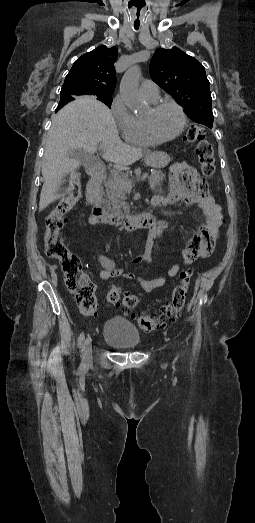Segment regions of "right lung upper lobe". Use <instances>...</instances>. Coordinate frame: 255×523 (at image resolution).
Instances as JSON below:
<instances>
[{"mask_svg": "<svg viewBox=\"0 0 255 523\" xmlns=\"http://www.w3.org/2000/svg\"><path fill=\"white\" fill-rule=\"evenodd\" d=\"M116 47L100 46L77 59L65 78L61 92L71 96H111L116 87ZM74 98V97H73ZM70 100H60L56 112Z\"/></svg>", "mask_w": 255, "mask_h": 523, "instance_id": "cb5924a9", "label": "right lung upper lobe"}]
</instances>
